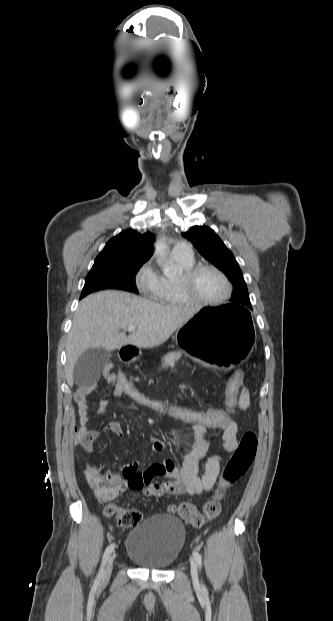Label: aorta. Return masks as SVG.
<instances>
[{
  "label": "aorta",
  "mask_w": 333,
  "mask_h": 621,
  "mask_svg": "<svg viewBox=\"0 0 333 621\" xmlns=\"http://www.w3.org/2000/svg\"><path fill=\"white\" fill-rule=\"evenodd\" d=\"M165 248V244L163 242H158L155 247V252L157 254H163Z\"/></svg>",
  "instance_id": "obj_1"
}]
</instances>
